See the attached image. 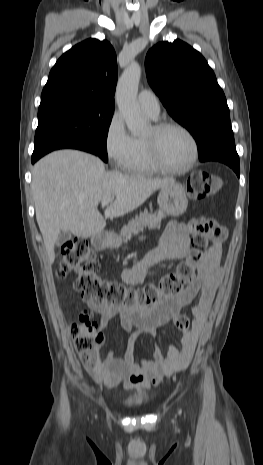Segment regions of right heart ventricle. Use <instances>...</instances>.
I'll return each mask as SVG.
<instances>
[{"mask_svg": "<svg viewBox=\"0 0 263 465\" xmlns=\"http://www.w3.org/2000/svg\"><path fill=\"white\" fill-rule=\"evenodd\" d=\"M127 170L132 173H153L158 171L148 157L143 137H133V155Z\"/></svg>", "mask_w": 263, "mask_h": 465, "instance_id": "right-heart-ventricle-1", "label": "right heart ventricle"}]
</instances>
